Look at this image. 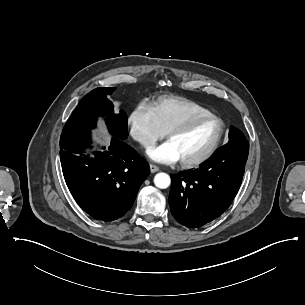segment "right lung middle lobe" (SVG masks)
Returning a JSON list of instances; mask_svg holds the SVG:
<instances>
[{"mask_svg":"<svg viewBox=\"0 0 305 305\" xmlns=\"http://www.w3.org/2000/svg\"><path fill=\"white\" fill-rule=\"evenodd\" d=\"M116 88H97L87 94L76 107L63 128L62 134L88 131L95 127L99 116L105 117L109 131L114 137L126 139L127 115L123 110L115 113L112 102L107 98Z\"/></svg>","mask_w":305,"mask_h":305,"instance_id":"obj_1","label":"right lung middle lobe"}]
</instances>
